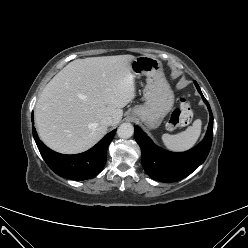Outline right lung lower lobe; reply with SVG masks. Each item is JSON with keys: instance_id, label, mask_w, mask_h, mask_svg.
<instances>
[{"instance_id": "obj_1", "label": "right lung lower lobe", "mask_w": 248, "mask_h": 248, "mask_svg": "<svg viewBox=\"0 0 248 248\" xmlns=\"http://www.w3.org/2000/svg\"><path fill=\"white\" fill-rule=\"evenodd\" d=\"M33 121V114H32ZM116 129L108 133L94 147L75 155L59 154L46 147L38 138L33 127V136L37 147L47 165L58 175L73 179L86 180L96 176L104 167L107 159V148L113 140Z\"/></svg>"}]
</instances>
